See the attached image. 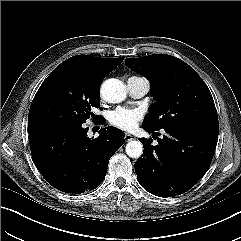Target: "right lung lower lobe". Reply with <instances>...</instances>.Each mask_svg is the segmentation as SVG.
<instances>
[{"label": "right lung lower lobe", "mask_w": 241, "mask_h": 241, "mask_svg": "<svg viewBox=\"0 0 241 241\" xmlns=\"http://www.w3.org/2000/svg\"><path fill=\"white\" fill-rule=\"evenodd\" d=\"M97 122L103 124L100 117ZM81 124L42 125L28 128L32 158L53 187L80 194L97 188L104 180L110 158L121 147L123 131L105 127L95 139Z\"/></svg>", "instance_id": "right-lung-lower-lobe-1"}]
</instances>
